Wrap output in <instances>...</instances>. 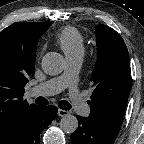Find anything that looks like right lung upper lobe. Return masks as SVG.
<instances>
[{"label": "right lung upper lobe", "mask_w": 144, "mask_h": 144, "mask_svg": "<svg viewBox=\"0 0 144 144\" xmlns=\"http://www.w3.org/2000/svg\"><path fill=\"white\" fill-rule=\"evenodd\" d=\"M53 22L14 23L0 32V144L9 141L37 107L23 98L34 72L39 37Z\"/></svg>", "instance_id": "1"}]
</instances>
